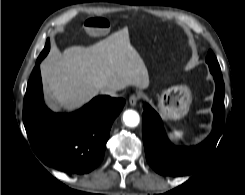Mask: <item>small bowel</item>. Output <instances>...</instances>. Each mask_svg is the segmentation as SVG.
Masks as SVG:
<instances>
[{
    "label": "small bowel",
    "mask_w": 245,
    "mask_h": 195,
    "mask_svg": "<svg viewBox=\"0 0 245 195\" xmlns=\"http://www.w3.org/2000/svg\"><path fill=\"white\" fill-rule=\"evenodd\" d=\"M85 25L91 33H102L109 28L110 23L103 17H93L88 19Z\"/></svg>",
    "instance_id": "small-bowel-1"
}]
</instances>
